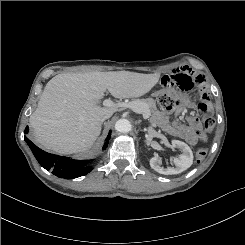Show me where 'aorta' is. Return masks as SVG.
Returning <instances> with one entry per match:
<instances>
[{
	"mask_svg": "<svg viewBox=\"0 0 245 245\" xmlns=\"http://www.w3.org/2000/svg\"><path fill=\"white\" fill-rule=\"evenodd\" d=\"M115 130L120 133H127L131 130V123L127 119H119L115 124Z\"/></svg>",
	"mask_w": 245,
	"mask_h": 245,
	"instance_id": "obj_1",
	"label": "aorta"
}]
</instances>
